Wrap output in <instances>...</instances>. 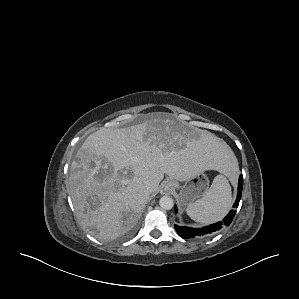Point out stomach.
<instances>
[{
    "instance_id": "obj_1",
    "label": "stomach",
    "mask_w": 299,
    "mask_h": 299,
    "mask_svg": "<svg viewBox=\"0 0 299 299\" xmlns=\"http://www.w3.org/2000/svg\"><path fill=\"white\" fill-rule=\"evenodd\" d=\"M209 180L204 171L187 179L183 185L179 181L169 178L166 181V188L179 189V200L182 205H190L203 197L208 190Z\"/></svg>"
}]
</instances>
